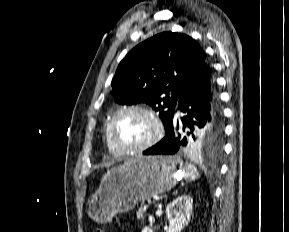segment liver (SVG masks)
<instances>
[{"label":"liver","mask_w":289,"mask_h":232,"mask_svg":"<svg viewBox=\"0 0 289 232\" xmlns=\"http://www.w3.org/2000/svg\"><path fill=\"white\" fill-rule=\"evenodd\" d=\"M109 173H110V171H108V172L104 175L103 179H104L107 175H109Z\"/></svg>","instance_id":"obj_1"}]
</instances>
